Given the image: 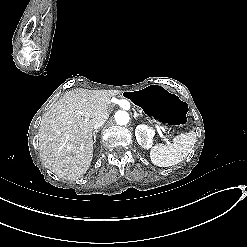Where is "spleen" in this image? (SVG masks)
<instances>
[{"mask_svg":"<svg viewBox=\"0 0 247 247\" xmlns=\"http://www.w3.org/2000/svg\"><path fill=\"white\" fill-rule=\"evenodd\" d=\"M196 134L181 133L173 139V146L156 144L150 151L151 162L159 167H169L183 161L196 143Z\"/></svg>","mask_w":247,"mask_h":247,"instance_id":"3e777b00","label":"spleen"}]
</instances>
